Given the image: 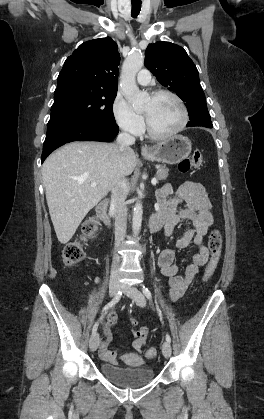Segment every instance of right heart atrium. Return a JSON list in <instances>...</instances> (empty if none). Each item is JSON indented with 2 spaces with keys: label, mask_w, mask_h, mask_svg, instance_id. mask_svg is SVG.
Segmentation results:
<instances>
[{
  "label": "right heart atrium",
  "mask_w": 264,
  "mask_h": 419,
  "mask_svg": "<svg viewBox=\"0 0 264 419\" xmlns=\"http://www.w3.org/2000/svg\"><path fill=\"white\" fill-rule=\"evenodd\" d=\"M112 114L120 129L131 135L142 132L144 122L140 114L135 112L121 93H117L111 106Z\"/></svg>",
  "instance_id": "1"
}]
</instances>
